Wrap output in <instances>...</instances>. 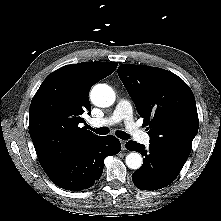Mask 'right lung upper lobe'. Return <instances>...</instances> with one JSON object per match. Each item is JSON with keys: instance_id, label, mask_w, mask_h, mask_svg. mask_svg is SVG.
Returning <instances> with one entry per match:
<instances>
[{"instance_id": "right-lung-upper-lobe-1", "label": "right lung upper lobe", "mask_w": 221, "mask_h": 221, "mask_svg": "<svg viewBox=\"0 0 221 221\" xmlns=\"http://www.w3.org/2000/svg\"><path fill=\"white\" fill-rule=\"evenodd\" d=\"M117 62H82L67 65L51 73L32 99L29 132L44 171L98 136L79 123L82 114H90V88L112 74Z\"/></svg>"}]
</instances>
